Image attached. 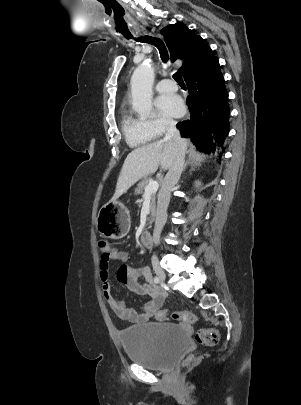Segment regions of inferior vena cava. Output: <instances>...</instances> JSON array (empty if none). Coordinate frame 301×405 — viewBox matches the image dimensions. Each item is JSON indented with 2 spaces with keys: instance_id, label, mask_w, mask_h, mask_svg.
Masks as SVG:
<instances>
[{
  "instance_id": "obj_1",
  "label": "inferior vena cava",
  "mask_w": 301,
  "mask_h": 405,
  "mask_svg": "<svg viewBox=\"0 0 301 405\" xmlns=\"http://www.w3.org/2000/svg\"><path fill=\"white\" fill-rule=\"evenodd\" d=\"M165 141H173L178 147L175 160L168 169L164 178L161 189L158 193L156 220L153 231V241L156 245L160 242V234L167 220V208L170 202L171 191L178 182L185 163V152L187 148L186 141L181 138L179 130L176 128V121L166 120Z\"/></svg>"
}]
</instances>
